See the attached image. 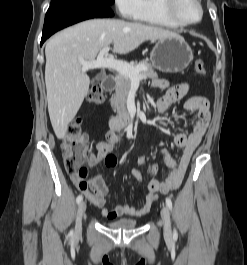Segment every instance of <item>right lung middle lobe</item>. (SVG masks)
Returning a JSON list of instances; mask_svg holds the SVG:
<instances>
[{
  "label": "right lung middle lobe",
  "mask_w": 247,
  "mask_h": 265,
  "mask_svg": "<svg viewBox=\"0 0 247 265\" xmlns=\"http://www.w3.org/2000/svg\"><path fill=\"white\" fill-rule=\"evenodd\" d=\"M69 2H86V3H99L105 5H112L114 0H51V6L62 4V3H69Z\"/></svg>",
  "instance_id": "1"
}]
</instances>
